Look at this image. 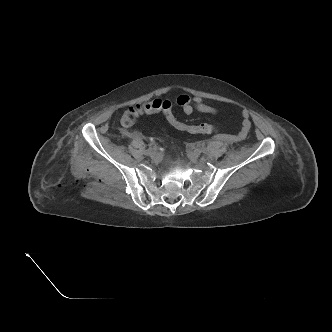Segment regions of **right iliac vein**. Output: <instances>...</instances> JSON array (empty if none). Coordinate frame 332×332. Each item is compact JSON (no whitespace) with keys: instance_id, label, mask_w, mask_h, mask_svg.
<instances>
[{"instance_id":"63e3f726","label":"right iliac vein","mask_w":332,"mask_h":332,"mask_svg":"<svg viewBox=\"0 0 332 332\" xmlns=\"http://www.w3.org/2000/svg\"><path fill=\"white\" fill-rule=\"evenodd\" d=\"M148 155H150L151 157H155L156 156V151L155 150H150L147 152Z\"/></svg>"}]
</instances>
